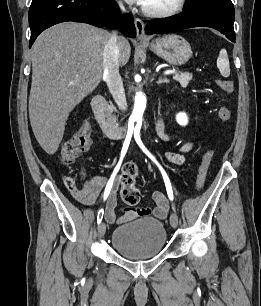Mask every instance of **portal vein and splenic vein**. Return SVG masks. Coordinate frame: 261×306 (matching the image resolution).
<instances>
[{
	"label": "portal vein and splenic vein",
	"instance_id": "1",
	"mask_svg": "<svg viewBox=\"0 0 261 306\" xmlns=\"http://www.w3.org/2000/svg\"><path fill=\"white\" fill-rule=\"evenodd\" d=\"M176 71L175 70H167L164 72L165 75H170V74H175Z\"/></svg>",
	"mask_w": 261,
	"mask_h": 306
}]
</instances>
